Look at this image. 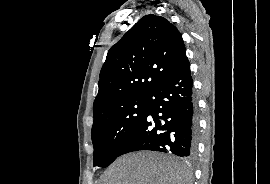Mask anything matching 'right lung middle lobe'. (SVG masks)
<instances>
[{
    "label": "right lung middle lobe",
    "mask_w": 270,
    "mask_h": 184,
    "mask_svg": "<svg viewBox=\"0 0 270 184\" xmlns=\"http://www.w3.org/2000/svg\"><path fill=\"white\" fill-rule=\"evenodd\" d=\"M147 97L126 101L93 123L94 166L107 167L147 114Z\"/></svg>",
    "instance_id": "dd1d6c3e"
}]
</instances>
